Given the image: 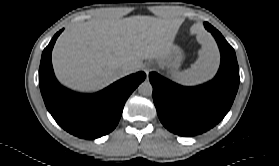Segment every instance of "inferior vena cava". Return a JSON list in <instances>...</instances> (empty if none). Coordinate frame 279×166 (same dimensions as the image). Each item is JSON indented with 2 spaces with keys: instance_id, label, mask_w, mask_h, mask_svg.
Masks as SVG:
<instances>
[{
  "instance_id": "602c4592",
  "label": "inferior vena cava",
  "mask_w": 279,
  "mask_h": 166,
  "mask_svg": "<svg viewBox=\"0 0 279 166\" xmlns=\"http://www.w3.org/2000/svg\"><path fill=\"white\" fill-rule=\"evenodd\" d=\"M133 71H134V67L130 66V65H124V66H122V68L120 70L122 76L128 75Z\"/></svg>"
}]
</instances>
